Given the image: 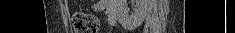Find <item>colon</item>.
Here are the masks:
<instances>
[{
  "label": "colon",
  "instance_id": "5ec220e1",
  "mask_svg": "<svg viewBox=\"0 0 235 33\" xmlns=\"http://www.w3.org/2000/svg\"><path fill=\"white\" fill-rule=\"evenodd\" d=\"M71 22L75 33L100 32V23L98 19L91 14L76 12L73 14Z\"/></svg>",
  "mask_w": 235,
  "mask_h": 33
}]
</instances>
